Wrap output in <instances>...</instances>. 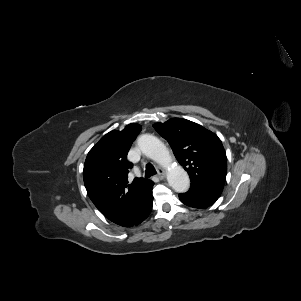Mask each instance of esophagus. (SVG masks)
I'll use <instances>...</instances> for the list:
<instances>
[{"label":"esophagus","mask_w":301,"mask_h":301,"mask_svg":"<svg viewBox=\"0 0 301 301\" xmlns=\"http://www.w3.org/2000/svg\"><path fill=\"white\" fill-rule=\"evenodd\" d=\"M157 176L160 178V179H163L165 177V171L161 168L158 169V173H157Z\"/></svg>","instance_id":"1"}]
</instances>
